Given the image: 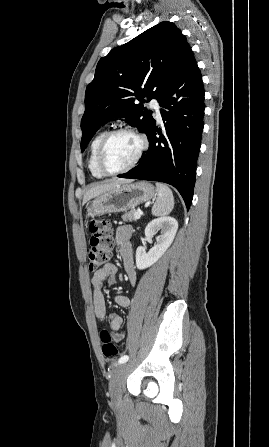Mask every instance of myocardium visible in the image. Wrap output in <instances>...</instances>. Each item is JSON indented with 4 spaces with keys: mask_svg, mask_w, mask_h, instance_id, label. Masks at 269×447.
I'll use <instances>...</instances> for the list:
<instances>
[{
    "mask_svg": "<svg viewBox=\"0 0 269 447\" xmlns=\"http://www.w3.org/2000/svg\"><path fill=\"white\" fill-rule=\"evenodd\" d=\"M119 132H131L133 134H136L141 140V147H140L136 157L134 158V160L128 166L120 168V169H109L104 162L105 149H106V146H107L109 140L112 138V136H114L115 134H117ZM148 147H149L148 136L140 128L135 127V126L126 125V126L112 129L106 133V135L103 137V139L100 143L99 150H98V156H97L98 166L103 173L108 174V175L119 174V173L129 171L139 163V161L141 160V158L144 156L145 152L147 151Z\"/></svg>",
    "mask_w": 269,
    "mask_h": 447,
    "instance_id": "1",
    "label": "myocardium"
}]
</instances>
